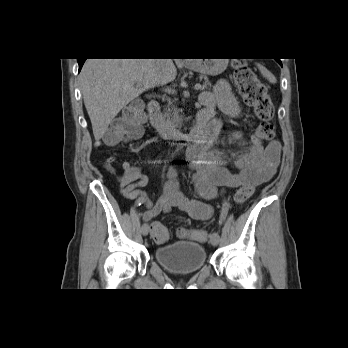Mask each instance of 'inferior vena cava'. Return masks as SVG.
Wrapping results in <instances>:
<instances>
[{
	"mask_svg": "<svg viewBox=\"0 0 348 348\" xmlns=\"http://www.w3.org/2000/svg\"><path fill=\"white\" fill-rule=\"evenodd\" d=\"M158 64L161 66L162 64H164L168 59H156Z\"/></svg>",
	"mask_w": 348,
	"mask_h": 348,
	"instance_id": "obj_1",
	"label": "inferior vena cava"
}]
</instances>
